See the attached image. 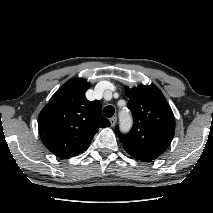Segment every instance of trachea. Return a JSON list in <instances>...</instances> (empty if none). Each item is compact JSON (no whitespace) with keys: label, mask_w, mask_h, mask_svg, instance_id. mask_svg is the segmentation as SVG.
<instances>
[{"label":"trachea","mask_w":213,"mask_h":213,"mask_svg":"<svg viewBox=\"0 0 213 213\" xmlns=\"http://www.w3.org/2000/svg\"><path fill=\"white\" fill-rule=\"evenodd\" d=\"M114 113H115V108L112 105H108L103 109V114L107 118L112 117Z\"/></svg>","instance_id":"1"}]
</instances>
